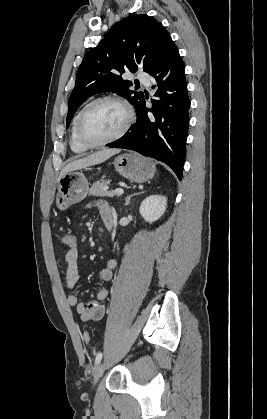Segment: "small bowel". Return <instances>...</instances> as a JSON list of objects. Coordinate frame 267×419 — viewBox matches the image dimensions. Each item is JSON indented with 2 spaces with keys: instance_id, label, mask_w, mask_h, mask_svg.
Instances as JSON below:
<instances>
[{
  "instance_id": "small-bowel-1",
  "label": "small bowel",
  "mask_w": 267,
  "mask_h": 419,
  "mask_svg": "<svg viewBox=\"0 0 267 419\" xmlns=\"http://www.w3.org/2000/svg\"><path fill=\"white\" fill-rule=\"evenodd\" d=\"M100 215L103 222L106 219H113V214L109 206L101 205L100 208ZM78 259H79V252L77 246L69 247L65 254V263H66V270H65V278H66V285L70 290H73L77 287L80 275L78 270ZM116 266L115 260H109L107 266L101 271L100 278L103 282L109 283L113 279V270ZM109 295V286L107 284H102L98 288L97 291V300H93L87 304L82 302L78 295L71 294L67 298V302L69 306L73 307L75 311L79 314L80 319L83 322L89 321H99L105 315V306L101 303V301L105 300Z\"/></svg>"
}]
</instances>
